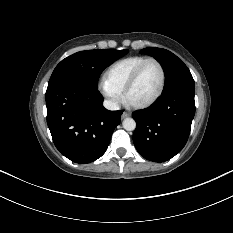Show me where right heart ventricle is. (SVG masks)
I'll return each instance as SVG.
<instances>
[{
    "instance_id": "e07e8e85",
    "label": "right heart ventricle",
    "mask_w": 233,
    "mask_h": 233,
    "mask_svg": "<svg viewBox=\"0 0 233 233\" xmlns=\"http://www.w3.org/2000/svg\"><path fill=\"white\" fill-rule=\"evenodd\" d=\"M147 59L148 57L146 56H130L118 60L108 67L104 79L113 87L123 92L132 73Z\"/></svg>"
}]
</instances>
